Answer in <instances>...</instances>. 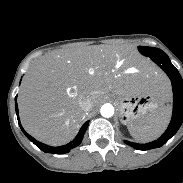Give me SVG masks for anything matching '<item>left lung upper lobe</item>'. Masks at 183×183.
Masks as SVG:
<instances>
[{"label":"left lung upper lobe","instance_id":"obj_1","mask_svg":"<svg viewBox=\"0 0 183 183\" xmlns=\"http://www.w3.org/2000/svg\"><path fill=\"white\" fill-rule=\"evenodd\" d=\"M138 49L143 55L148 56V57H150L154 54L164 53L162 50H160L158 48L139 46Z\"/></svg>","mask_w":183,"mask_h":183}]
</instances>
